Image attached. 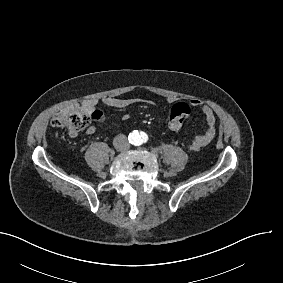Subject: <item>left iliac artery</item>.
Returning <instances> with one entry per match:
<instances>
[{
    "label": "left iliac artery",
    "instance_id": "left-iliac-artery-1",
    "mask_svg": "<svg viewBox=\"0 0 283 283\" xmlns=\"http://www.w3.org/2000/svg\"><path fill=\"white\" fill-rule=\"evenodd\" d=\"M141 137L144 139V142L148 140V135L144 132H141Z\"/></svg>",
    "mask_w": 283,
    "mask_h": 283
}]
</instances>
